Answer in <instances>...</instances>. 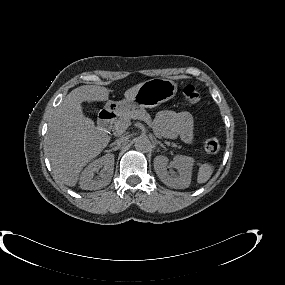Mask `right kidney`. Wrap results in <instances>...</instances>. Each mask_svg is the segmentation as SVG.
<instances>
[{
    "instance_id": "1",
    "label": "right kidney",
    "mask_w": 285,
    "mask_h": 285,
    "mask_svg": "<svg viewBox=\"0 0 285 285\" xmlns=\"http://www.w3.org/2000/svg\"><path fill=\"white\" fill-rule=\"evenodd\" d=\"M102 168L100 178H94L95 173ZM114 172V155L107 154L90 163L80 176V187L84 190H97L107 186Z\"/></svg>"
}]
</instances>
